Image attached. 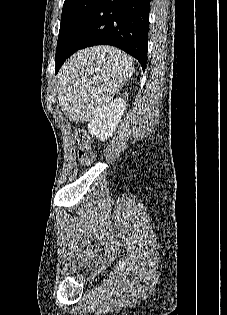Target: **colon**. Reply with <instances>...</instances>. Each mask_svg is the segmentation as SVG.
<instances>
[{
  "instance_id": "obj_1",
  "label": "colon",
  "mask_w": 227,
  "mask_h": 315,
  "mask_svg": "<svg viewBox=\"0 0 227 315\" xmlns=\"http://www.w3.org/2000/svg\"><path fill=\"white\" fill-rule=\"evenodd\" d=\"M74 141L78 148L77 158L82 166H89L95 162L96 156L91 144V137L82 127L74 129Z\"/></svg>"
}]
</instances>
